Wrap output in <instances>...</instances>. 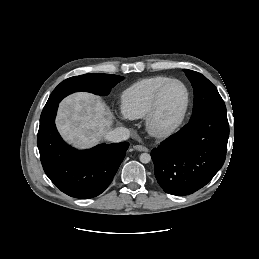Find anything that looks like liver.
Here are the masks:
<instances>
[{"label":"liver","mask_w":259,"mask_h":259,"mask_svg":"<svg viewBox=\"0 0 259 259\" xmlns=\"http://www.w3.org/2000/svg\"><path fill=\"white\" fill-rule=\"evenodd\" d=\"M112 114L106 104L90 93H75L59 106L56 126L61 136L74 147L92 148L109 132Z\"/></svg>","instance_id":"obj_1"}]
</instances>
